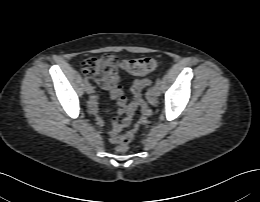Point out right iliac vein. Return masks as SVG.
<instances>
[{
	"mask_svg": "<svg viewBox=\"0 0 260 202\" xmlns=\"http://www.w3.org/2000/svg\"><path fill=\"white\" fill-rule=\"evenodd\" d=\"M85 91L88 93V94H91L93 93V87L90 85V84H87L85 86Z\"/></svg>",
	"mask_w": 260,
	"mask_h": 202,
	"instance_id": "1",
	"label": "right iliac vein"
}]
</instances>
